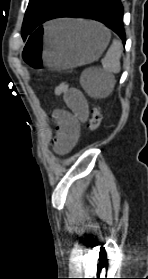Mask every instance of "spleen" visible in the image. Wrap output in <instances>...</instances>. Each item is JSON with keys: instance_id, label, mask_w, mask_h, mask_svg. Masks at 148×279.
Returning <instances> with one entry per match:
<instances>
[{"instance_id": "spleen-1", "label": "spleen", "mask_w": 148, "mask_h": 279, "mask_svg": "<svg viewBox=\"0 0 148 279\" xmlns=\"http://www.w3.org/2000/svg\"><path fill=\"white\" fill-rule=\"evenodd\" d=\"M86 25H93L92 22H85ZM54 29V26L50 27ZM123 46L120 40L114 39L105 57L101 60L104 74L108 80L92 81L86 77V72L82 75L80 83L87 93L95 98L107 97L114 88V76L120 72V59Z\"/></svg>"}]
</instances>
